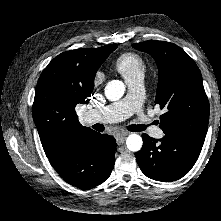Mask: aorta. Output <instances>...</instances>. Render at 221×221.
<instances>
[{
    "mask_svg": "<svg viewBox=\"0 0 221 221\" xmlns=\"http://www.w3.org/2000/svg\"><path fill=\"white\" fill-rule=\"evenodd\" d=\"M125 92V85L120 80H112L105 87V96L110 101L119 100ZM143 140L138 134H130L126 139V146L130 151L137 152L142 148Z\"/></svg>",
    "mask_w": 221,
    "mask_h": 221,
    "instance_id": "aorta-1",
    "label": "aorta"
}]
</instances>
